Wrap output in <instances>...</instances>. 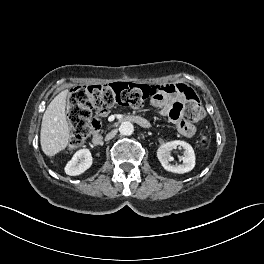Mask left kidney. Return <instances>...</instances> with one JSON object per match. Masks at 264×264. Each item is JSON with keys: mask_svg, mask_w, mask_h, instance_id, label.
<instances>
[{"mask_svg": "<svg viewBox=\"0 0 264 264\" xmlns=\"http://www.w3.org/2000/svg\"><path fill=\"white\" fill-rule=\"evenodd\" d=\"M177 146L184 149V156L182 158L183 163L178 166H174L170 164L172 159L170 151ZM157 157L164 169L173 173L183 174L191 171L195 166V154L192 146L187 142L180 140L163 143L157 150Z\"/></svg>", "mask_w": 264, "mask_h": 264, "instance_id": "left-kidney-1", "label": "left kidney"}]
</instances>
